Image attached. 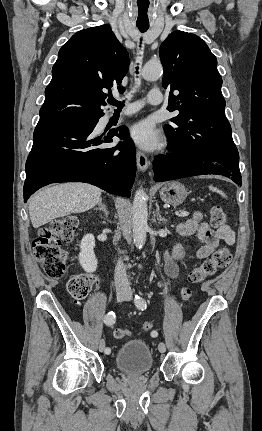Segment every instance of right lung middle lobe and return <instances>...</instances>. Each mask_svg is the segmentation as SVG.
<instances>
[{"instance_id": "right-lung-middle-lobe-1", "label": "right lung middle lobe", "mask_w": 262, "mask_h": 431, "mask_svg": "<svg viewBox=\"0 0 262 431\" xmlns=\"http://www.w3.org/2000/svg\"><path fill=\"white\" fill-rule=\"evenodd\" d=\"M91 122H97L99 118H89Z\"/></svg>"}]
</instances>
